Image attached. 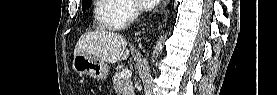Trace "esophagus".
<instances>
[{
    "mask_svg": "<svg viewBox=\"0 0 277 95\" xmlns=\"http://www.w3.org/2000/svg\"><path fill=\"white\" fill-rule=\"evenodd\" d=\"M168 2H169L168 0H164L161 4V9H166Z\"/></svg>",
    "mask_w": 277,
    "mask_h": 95,
    "instance_id": "1",
    "label": "esophagus"
}]
</instances>
